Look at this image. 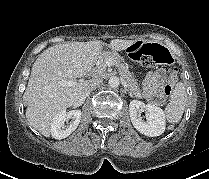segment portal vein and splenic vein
<instances>
[{"label": "portal vein and splenic vein", "mask_w": 209, "mask_h": 179, "mask_svg": "<svg viewBox=\"0 0 209 179\" xmlns=\"http://www.w3.org/2000/svg\"><path fill=\"white\" fill-rule=\"evenodd\" d=\"M113 62L111 60H109V65H112ZM77 82L76 81H73V80H68V81H62L61 84L63 86H73L75 85Z\"/></svg>", "instance_id": "18ae733b"}]
</instances>
